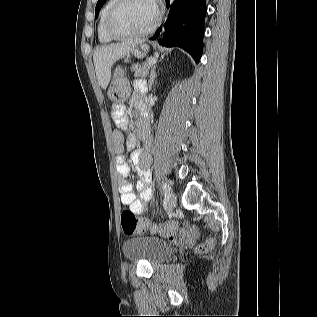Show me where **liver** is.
Segmentation results:
<instances>
[{
  "instance_id": "liver-1",
  "label": "liver",
  "mask_w": 317,
  "mask_h": 317,
  "mask_svg": "<svg viewBox=\"0 0 317 317\" xmlns=\"http://www.w3.org/2000/svg\"><path fill=\"white\" fill-rule=\"evenodd\" d=\"M130 40L122 43L97 47L93 54L96 76L102 89H106L111 79V68L114 63L124 57L131 49L141 43Z\"/></svg>"
}]
</instances>
